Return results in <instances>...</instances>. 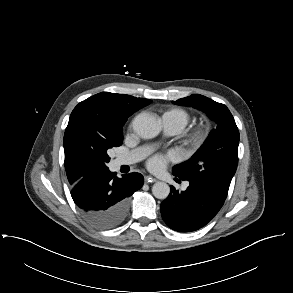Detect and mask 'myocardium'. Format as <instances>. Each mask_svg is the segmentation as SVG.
<instances>
[{
	"label": "myocardium",
	"instance_id": "1",
	"mask_svg": "<svg viewBox=\"0 0 293 293\" xmlns=\"http://www.w3.org/2000/svg\"><path fill=\"white\" fill-rule=\"evenodd\" d=\"M208 133L209 130L207 126L203 124L196 125L185 135V143L190 148L197 149L204 144Z\"/></svg>",
	"mask_w": 293,
	"mask_h": 293
}]
</instances>
